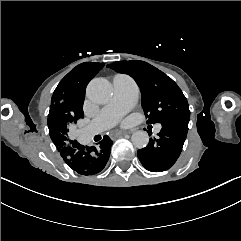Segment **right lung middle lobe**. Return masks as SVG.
<instances>
[{
	"label": "right lung middle lobe",
	"instance_id": "1",
	"mask_svg": "<svg viewBox=\"0 0 241 241\" xmlns=\"http://www.w3.org/2000/svg\"><path fill=\"white\" fill-rule=\"evenodd\" d=\"M103 66L104 63L90 62L73 68L56 87L51 98L49 115L74 124L83 118L86 86Z\"/></svg>",
	"mask_w": 241,
	"mask_h": 241
}]
</instances>
